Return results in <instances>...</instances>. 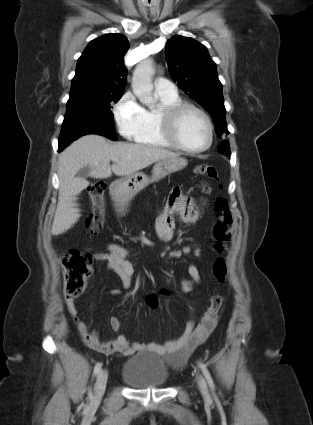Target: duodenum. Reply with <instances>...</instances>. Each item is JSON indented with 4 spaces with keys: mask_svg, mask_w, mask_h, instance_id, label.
<instances>
[{
    "mask_svg": "<svg viewBox=\"0 0 313 425\" xmlns=\"http://www.w3.org/2000/svg\"><path fill=\"white\" fill-rule=\"evenodd\" d=\"M116 190V187H113V191H115Z\"/></svg>",
    "mask_w": 313,
    "mask_h": 425,
    "instance_id": "duodenum-1",
    "label": "duodenum"
}]
</instances>
